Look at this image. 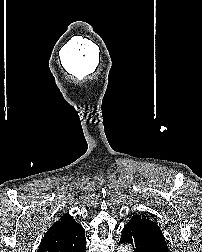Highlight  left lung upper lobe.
<instances>
[{
	"mask_svg": "<svg viewBox=\"0 0 202 252\" xmlns=\"http://www.w3.org/2000/svg\"><path fill=\"white\" fill-rule=\"evenodd\" d=\"M131 221H135V222H138V223H143L145 225H148L149 227L151 228H154L155 231L159 232V234L162 236L164 242H165V238L159 228V226L157 225V223L149 220V219H146L145 217H142L140 215H136V216H133V218L131 219ZM166 243V242H165Z\"/></svg>",
	"mask_w": 202,
	"mask_h": 252,
	"instance_id": "left-lung-upper-lobe-1",
	"label": "left lung upper lobe"
}]
</instances>
